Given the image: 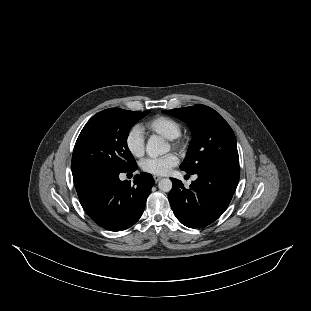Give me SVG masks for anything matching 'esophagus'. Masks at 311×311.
I'll use <instances>...</instances> for the list:
<instances>
[{
    "instance_id": "34e87169",
    "label": "esophagus",
    "mask_w": 311,
    "mask_h": 311,
    "mask_svg": "<svg viewBox=\"0 0 311 311\" xmlns=\"http://www.w3.org/2000/svg\"><path fill=\"white\" fill-rule=\"evenodd\" d=\"M153 178L155 182L157 183L161 179V176L154 175Z\"/></svg>"
}]
</instances>
